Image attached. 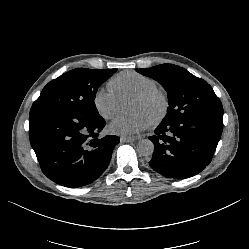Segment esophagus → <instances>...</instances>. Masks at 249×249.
Instances as JSON below:
<instances>
[{"label":"esophagus","instance_id":"esophagus-1","mask_svg":"<svg viewBox=\"0 0 249 249\" xmlns=\"http://www.w3.org/2000/svg\"><path fill=\"white\" fill-rule=\"evenodd\" d=\"M121 143H131L135 141V138L121 136Z\"/></svg>","mask_w":249,"mask_h":249}]
</instances>
